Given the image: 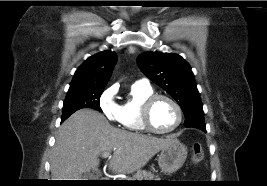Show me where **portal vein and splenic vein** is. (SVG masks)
<instances>
[{
  "label": "portal vein and splenic vein",
  "instance_id": "1",
  "mask_svg": "<svg viewBox=\"0 0 267 186\" xmlns=\"http://www.w3.org/2000/svg\"><path fill=\"white\" fill-rule=\"evenodd\" d=\"M103 158H108L110 156V152H104L101 155Z\"/></svg>",
  "mask_w": 267,
  "mask_h": 186
}]
</instances>
